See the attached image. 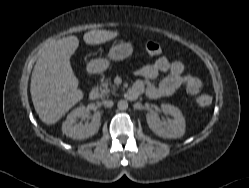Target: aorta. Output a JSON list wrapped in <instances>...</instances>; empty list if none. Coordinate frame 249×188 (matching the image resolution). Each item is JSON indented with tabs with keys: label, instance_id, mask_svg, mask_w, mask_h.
<instances>
[{
	"label": "aorta",
	"instance_id": "762f6f07",
	"mask_svg": "<svg viewBox=\"0 0 249 188\" xmlns=\"http://www.w3.org/2000/svg\"><path fill=\"white\" fill-rule=\"evenodd\" d=\"M119 110H127L128 109V102L126 100H120L117 104Z\"/></svg>",
	"mask_w": 249,
	"mask_h": 188
}]
</instances>
